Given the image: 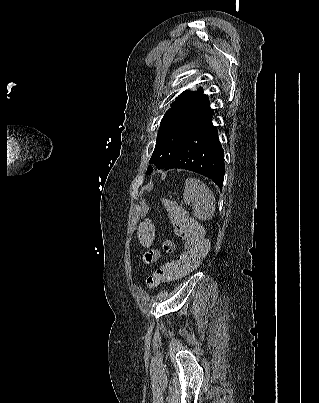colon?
I'll return each instance as SVG.
<instances>
[{"instance_id":"5ec220e1","label":"colon","mask_w":319,"mask_h":403,"mask_svg":"<svg viewBox=\"0 0 319 403\" xmlns=\"http://www.w3.org/2000/svg\"><path fill=\"white\" fill-rule=\"evenodd\" d=\"M171 220L175 226L177 237L184 243V249L175 261L157 269L147 278L146 286L148 288L171 282L192 271L208 252L209 243L198 222L187 217L178 207L171 209ZM138 226L137 243H140L141 247H150L151 243H158V234H156L158 221H153L152 218H139ZM145 259L148 261V257Z\"/></svg>"}]
</instances>
